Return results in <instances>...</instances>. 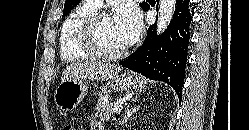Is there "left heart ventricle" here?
<instances>
[{
    "label": "left heart ventricle",
    "mask_w": 249,
    "mask_h": 130,
    "mask_svg": "<svg viewBox=\"0 0 249 130\" xmlns=\"http://www.w3.org/2000/svg\"><path fill=\"white\" fill-rule=\"evenodd\" d=\"M98 41L101 47L109 52H117L128 45L115 16L108 17L101 23Z\"/></svg>",
    "instance_id": "1"
}]
</instances>
